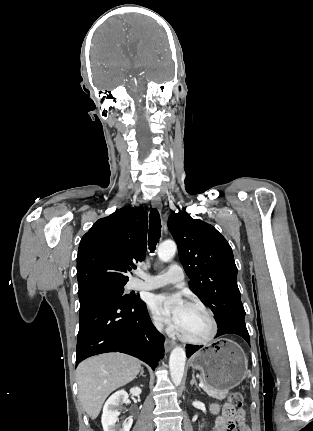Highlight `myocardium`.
<instances>
[{"label": "myocardium", "instance_id": "obj_1", "mask_svg": "<svg viewBox=\"0 0 313 431\" xmlns=\"http://www.w3.org/2000/svg\"><path fill=\"white\" fill-rule=\"evenodd\" d=\"M188 306L204 311L207 314V316L209 317L212 329H211L209 336L204 338V339H192V338H189V337L183 335L182 333H179V338L183 342L191 344V345H207V344L211 343L215 339V337L217 336L218 330H219L218 321H217V318H216L214 312L209 307H207L205 304H203L201 302L193 301V302H190L188 304Z\"/></svg>", "mask_w": 313, "mask_h": 431}]
</instances>
